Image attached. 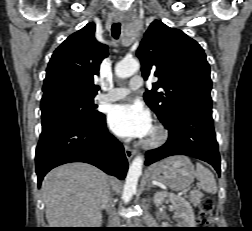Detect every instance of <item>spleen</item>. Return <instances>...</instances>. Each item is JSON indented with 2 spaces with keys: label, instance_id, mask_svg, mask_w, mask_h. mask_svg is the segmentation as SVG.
I'll list each match as a JSON object with an SVG mask.
<instances>
[{
  "label": "spleen",
  "instance_id": "1",
  "mask_svg": "<svg viewBox=\"0 0 252 231\" xmlns=\"http://www.w3.org/2000/svg\"><path fill=\"white\" fill-rule=\"evenodd\" d=\"M196 178L200 181V186L205 192L215 194L217 192V185L212 172L204 167L202 164H196Z\"/></svg>",
  "mask_w": 252,
  "mask_h": 231
}]
</instances>
